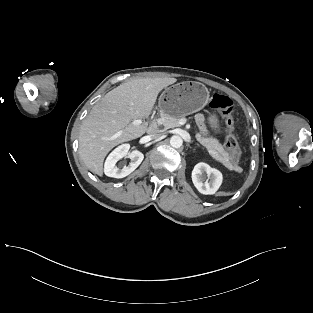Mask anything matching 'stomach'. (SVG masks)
Returning <instances> with one entry per match:
<instances>
[{
	"label": "stomach",
	"mask_w": 313,
	"mask_h": 313,
	"mask_svg": "<svg viewBox=\"0 0 313 313\" xmlns=\"http://www.w3.org/2000/svg\"><path fill=\"white\" fill-rule=\"evenodd\" d=\"M209 100V91L199 82H181L166 88L159 97L161 112L176 117L193 114L201 110ZM210 126L217 130L218 119L209 117Z\"/></svg>",
	"instance_id": "1"
}]
</instances>
